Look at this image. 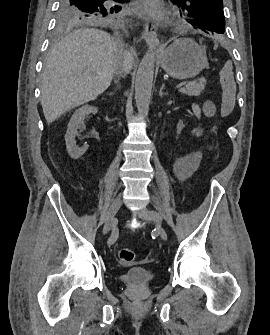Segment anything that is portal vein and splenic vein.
Returning a JSON list of instances; mask_svg holds the SVG:
<instances>
[{
	"label": "portal vein and splenic vein",
	"instance_id": "obj_1",
	"mask_svg": "<svg viewBox=\"0 0 270 335\" xmlns=\"http://www.w3.org/2000/svg\"><path fill=\"white\" fill-rule=\"evenodd\" d=\"M185 84H187V81H182V80H180V81L178 82L177 86H174V89H178V88H180V87H182V86H185Z\"/></svg>",
	"mask_w": 270,
	"mask_h": 335
}]
</instances>
